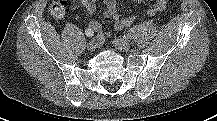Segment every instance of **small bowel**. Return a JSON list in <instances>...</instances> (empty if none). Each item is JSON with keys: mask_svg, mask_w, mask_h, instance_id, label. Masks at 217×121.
Listing matches in <instances>:
<instances>
[{"mask_svg": "<svg viewBox=\"0 0 217 121\" xmlns=\"http://www.w3.org/2000/svg\"><path fill=\"white\" fill-rule=\"evenodd\" d=\"M134 2H142L144 0H132ZM81 4L85 7L86 11L90 15H94L97 9L96 0H80ZM104 12L103 16L106 19H111L114 22V29L116 31L122 30L130 26L134 20V16L122 17L117 10L116 0H103ZM166 0H153V5L147 10L149 16H154L158 12L165 9ZM89 28L98 33V39L103 41L106 37H109L110 33H105L102 29L101 23L92 19L89 23Z\"/></svg>", "mask_w": 217, "mask_h": 121, "instance_id": "1", "label": "small bowel"}]
</instances>
